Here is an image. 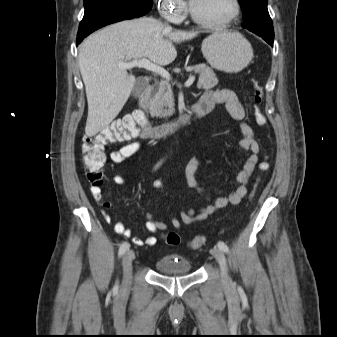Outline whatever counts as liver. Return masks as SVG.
Wrapping results in <instances>:
<instances>
[{
	"mask_svg": "<svg viewBox=\"0 0 337 337\" xmlns=\"http://www.w3.org/2000/svg\"><path fill=\"white\" fill-rule=\"evenodd\" d=\"M196 36V32L173 31L154 18L142 17L115 23L87 37L79 50L88 102L86 135H96L116 118L136 83L133 75L118 67L119 61L148 58L168 65L177 56L173 43Z\"/></svg>",
	"mask_w": 337,
	"mask_h": 337,
	"instance_id": "6515ba94",
	"label": "liver"
}]
</instances>
